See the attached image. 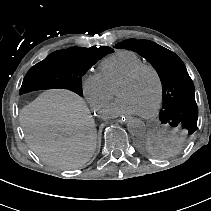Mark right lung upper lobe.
<instances>
[{
  "instance_id": "cb5924a9",
  "label": "right lung upper lobe",
  "mask_w": 211,
  "mask_h": 211,
  "mask_svg": "<svg viewBox=\"0 0 211 211\" xmlns=\"http://www.w3.org/2000/svg\"><path fill=\"white\" fill-rule=\"evenodd\" d=\"M89 49H92V50H93V49L103 50V51H106V52H108V53H112V52H113V49H111L110 47H105V46L99 47V48L93 46V47H91V48H89Z\"/></svg>"
}]
</instances>
